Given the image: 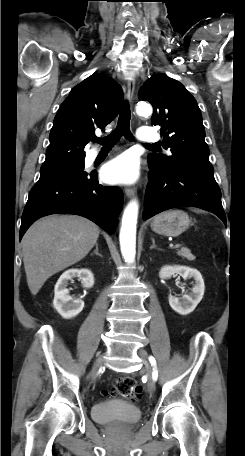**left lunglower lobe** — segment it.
<instances>
[{
	"label": "left lung lower lobe",
	"mask_w": 245,
	"mask_h": 456,
	"mask_svg": "<svg viewBox=\"0 0 245 456\" xmlns=\"http://www.w3.org/2000/svg\"><path fill=\"white\" fill-rule=\"evenodd\" d=\"M149 169L144 219L175 207H197L214 213L226 224L213 172L177 166L160 168L152 162Z\"/></svg>",
	"instance_id": "1"
}]
</instances>
